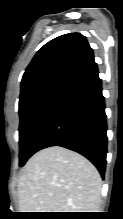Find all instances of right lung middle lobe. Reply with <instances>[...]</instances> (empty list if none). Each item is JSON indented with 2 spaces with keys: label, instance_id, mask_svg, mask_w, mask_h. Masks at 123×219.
<instances>
[{
  "label": "right lung middle lobe",
  "instance_id": "right-lung-middle-lobe-1",
  "mask_svg": "<svg viewBox=\"0 0 123 219\" xmlns=\"http://www.w3.org/2000/svg\"><path fill=\"white\" fill-rule=\"evenodd\" d=\"M68 83V80L51 81L34 87L20 96L19 166H23L34 154V142Z\"/></svg>",
  "mask_w": 123,
  "mask_h": 219
}]
</instances>
